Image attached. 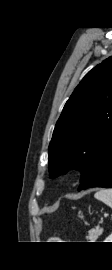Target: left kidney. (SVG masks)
Wrapping results in <instances>:
<instances>
[{"mask_svg": "<svg viewBox=\"0 0 112 270\" xmlns=\"http://www.w3.org/2000/svg\"><path fill=\"white\" fill-rule=\"evenodd\" d=\"M105 242H112V233L109 235V237L105 240Z\"/></svg>", "mask_w": 112, "mask_h": 270, "instance_id": "obj_1", "label": "left kidney"}]
</instances>
